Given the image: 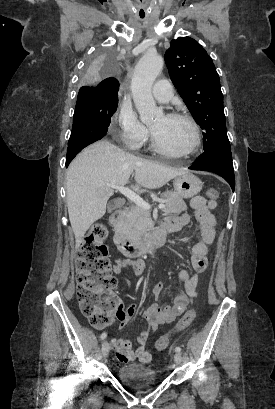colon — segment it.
<instances>
[{"label": "colon", "instance_id": "5ec220e1", "mask_svg": "<svg viewBox=\"0 0 275 409\" xmlns=\"http://www.w3.org/2000/svg\"><path fill=\"white\" fill-rule=\"evenodd\" d=\"M218 191L210 189L207 198L214 202ZM107 228L103 221L92 225L77 249V289L76 294L82 314L96 330H103L113 319V313L120 306L121 299L113 292L118 281L111 274L112 262L108 258V247L104 243ZM196 318V311L188 309L174 327L180 332L189 327ZM170 334L164 335L156 343L158 351L165 350L170 343Z\"/></svg>", "mask_w": 275, "mask_h": 409}]
</instances>
